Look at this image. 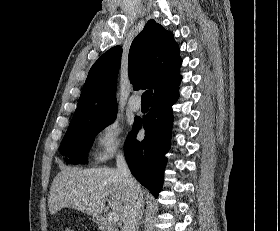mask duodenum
Instances as JSON below:
<instances>
[{
  "mask_svg": "<svg viewBox=\"0 0 280 231\" xmlns=\"http://www.w3.org/2000/svg\"><path fill=\"white\" fill-rule=\"evenodd\" d=\"M97 221L104 231H111V229L109 228V221L106 217L101 216L97 219Z\"/></svg>",
  "mask_w": 280,
  "mask_h": 231,
  "instance_id": "duodenum-1",
  "label": "duodenum"
}]
</instances>
